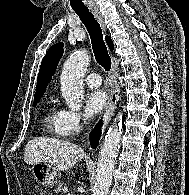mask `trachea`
<instances>
[{"mask_svg":"<svg viewBox=\"0 0 189 195\" xmlns=\"http://www.w3.org/2000/svg\"><path fill=\"white\" fill-rule=\"evenodd\" d=\"M82 23L86 26L91 38L95 59L106 71L111 68V58L103 40V34L99 22L87 7L73 8Z\"/></svg>","mask_w":189,"mask_h":195,"instance_id":"3493384b","label":"trachea"}]
</instances>
